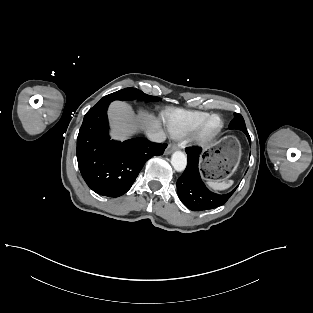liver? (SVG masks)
I'll return each instance as SVG.
<instances>
[{"instance_id":"1","label":"liver","mask_w":313,"mask_h":313,"mask_svg":"<svg viewBox=\"0 0 313 313\" xmlns=\"http://www.w3.org/2000/svg\"><path fill=\"white\" fill-rule=\"evenodd\" d=\"M109 119L112 126V136L114 139L122 140L125 135L131 133L137 120L132 112L131 107L125 102H113L109 108ZM141 127L146 131L159 130L160 122L153 115L141 113Z\"/></svg>"}]
</instances>
